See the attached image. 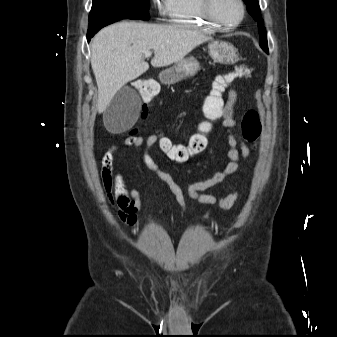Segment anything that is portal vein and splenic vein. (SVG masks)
Here are the masks:
<instances>
[{"instance_id": "18ae733b", "label": "portal vein and splenic vein", "mask_w": 337, "mask_h": 337, "mask_svg": "<svg viewBox=\"0 0 337 337\" xmlns=\"http://www.w3.org/2000/svg\"><path fill=\"white\" fill-rule=\"evenodd\" d=\"M144 55H145V57H151V55H152V52H150V51H147V52H145V53H144Z\"/></svg>"}]
</instances>
